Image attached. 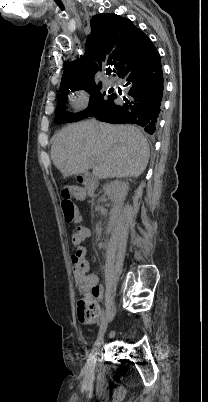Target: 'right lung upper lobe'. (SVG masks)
Masks as SVG:
<instances>
[{
    "instance_id": "cb5924a9",
    "label": "right lung upper lobe",
    "mask_w": 208,
    "mask_h": 402,
    "mask_svg": "<svg viewBox=\"0 0 208 402\" xmlns=\"http://www.w3.org/2000/svg\"><path fill=\"white\" fill-rule=\"evenodd\" d=\"M91 33L85 54L70 62L62 75L60 91L94 81L103 64L117 74L122 59L133 49L143 32L133 23L116 14H99L91 19Z\"/></svg>"
}]
</instances>
